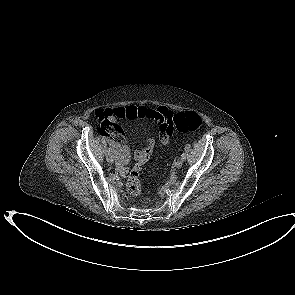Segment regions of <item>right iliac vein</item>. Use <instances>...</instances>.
<instances>
[{
    "label": "right iliac vein",
    "instance_id": "obj_1",
    "mask_svg": "<svg viewBox=\"0 0 295 295\" xmlns=\"http://www.w3.org/2000/svg\"><path fill=\"white\" fill-rule=\"evenodd\" d=\"M106 159L109 163H114L115 161L114 156L111 154L107 155Z\"/></svg>",
    "mask_w": 295,
    "mask_h": 295
}]
</instances>
